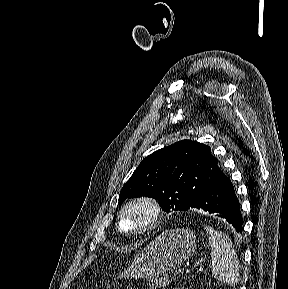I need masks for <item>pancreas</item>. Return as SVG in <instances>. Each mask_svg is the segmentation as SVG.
<instances>
[{"label":"pancreas","instance_id":"1","mask_svg":"<svg viewBox=\"0 0 288 289\" xmlns=\"http://www.w3.org/2000/svg\"><path fill=\"white\" fill-rule=\"evenodd\" d=\"M168 284H169V280H168V277L165 275L159 278V280H154L152 284L150 285V288L161 289V288H165Z\"/></svg>","mask_w":288,"mask_h":289}]
</instances>
